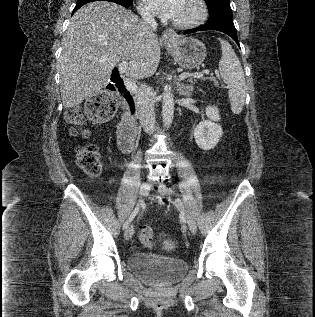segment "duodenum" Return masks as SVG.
I'll return each instance as SVG.
<instances>
[{"instance_id": "obj_1", "label": "duodenum", "mask_w": 315, "mask_h": 317, "mask_svg": "<svg viewBox=\"0 0 315 317\" xmlns=\"http://www.w3.org/2000/svg\"><path fill=\"white\" fill-rule=\"evenodd\" d=\"M112 81L119 94L123 113L117 124V137L120 149L125 153H130L135 149L137 128L134 121L135 101L132 94L127 89L124 80L115 74Z\"/></svg>"}]
</instances>
